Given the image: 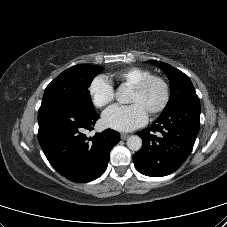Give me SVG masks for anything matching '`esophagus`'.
<instances>
[{"label": "esophagus", "instance_id": "esophagus-1", "mask_svg": "<svg viewBox=\"0 0 227 227\" xmlns=\"http://www.w3.org/2000/svg\"><path fill=\"white\" fill-rule=\"evenodd\" d=\"M128 137H129V135L126 134V133H122V134H121V139H122V140H126Z\"/></svg>", "mask_w": 227, "mask_h": 227}]
</instances>
